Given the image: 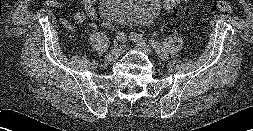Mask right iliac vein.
<instances>
[{"instance_id": "63e3f726", "label": "right iliac vein", "mask_w": 253, "mask_h": 131, "mask_svg": "<svg viewBox=\"0 0 253 131\" xmlns=\"http://www.w3.org/2000/svg\"><path fill=\"white\" fill-rule=\"evenodd\" d=\"M122 52V48L121 47H116L114 49H112L105 57L106 61L108 62H114L119 55Z\"/></svg>"}]
</instances>
